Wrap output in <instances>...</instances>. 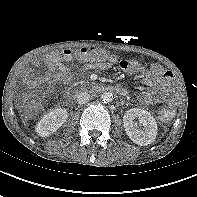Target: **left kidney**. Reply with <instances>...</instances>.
<instances>
[{"instance_id":"1","label":"left kidney","mask_w":197,"mask_h":197,"mask_svg":"<svg viewBox=\"0 0 197 197\" xmlns=\"http://www.w3.org/2000/svg\"><path fill=\"white\" fill-rule=\"evenodd\" d=\"M135 118L139 119L143 129L134 124ZM123 122L126 134L135 144L146 146L155 141L158 131L157 123L147 110L132 108L125 113Z\"/></svg>"}]
</instances>
